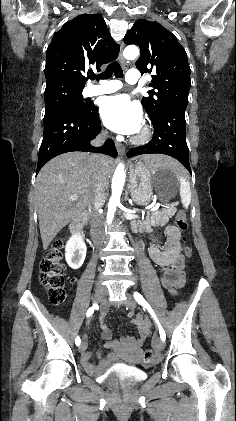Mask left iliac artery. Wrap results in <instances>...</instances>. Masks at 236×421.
Returning a JSON list of instances; mask_svg holds the SVG:
<instances>
[{"label":"left iliac artery","instance_id":"44dca946","mask_svg":"<svg viewBox=\"0 0 236 421\" xmlns=\"http://www.w3.org/2000/svg\"><path fill=\"white\" fill-rule=\"evenodd\" d=\"M134 299L137 301L138 304H140L141 306H143L144 308H146L148 310V312L151 314V316L154 318L156 324L158 325L159 328V333H160V338L162 339V341H165L166 339V334L165 331L163 330L159 320L157 319L153 309L151 308V306L146 302V300L143 298V296L138 293V292H134Z\"/></svg>","mask_w":236,"mask_h":421}]
</instances>
